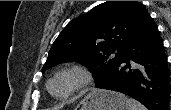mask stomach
Returning <instances> with one entry per match:
<instances>
[{
    "label": "stomach",
    "mask_w": 171,
    "mask_h": 110,
    "mask_svg": "<svg viewBox=\"0 0 171 110\" xmlns=\"http://www.w3.org/2000/svg\"><path fill=\"white\" fill-rule=\"evenodd\" d=\"M127 98L119 93L92 90L75 110H126Z\"/></svg>",
    "instance_id": "obj_1"
}]
</instances>
